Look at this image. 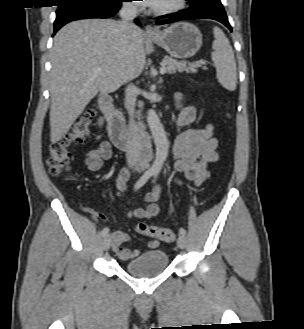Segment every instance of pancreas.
Masks as SVG:
<instances>
[{"instance_id":"obj_1","label":"pancreas","mask_w":304,"mask_h":329,"mask_svg":"<svg viewBox=\"0 0 304 329\" xmlns=\"http://www.w3.org/2000/svg\"><path fill=\"white\" fill-rule=\"evenodd\" d=\"M163 65L166 67V71L169 74H173L176 71L187 73H196L199 67H203L204 70H207L206 66H203L202 62H187V61H178L171 57L165 56L163 59Z\"/></svg>"}]
</instances>
